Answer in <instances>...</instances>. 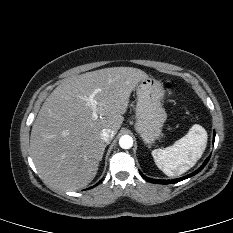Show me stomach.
I'll return each instance as SVG.
<instances>
[{
	"label": "stomach",
	"instance_id": "1",
	"mask_svg": "<svg viewBox=\"0 0 233 233\" xmlns=\"http://www.w3.org/2000/svg\"><path fill=\"white\" fill-rule=\"evenodd\" d=\"M137 105L135 130L144 143L151 145L162 134L167 114L162 106L164 88L154 78L141 80L136 86Z\"/></svg>",
	"mask_w": 233,
	"mask_h": 233
}]
</instances>
